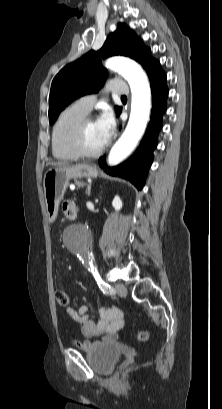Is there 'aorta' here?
Listing matches in <instances>:
<instances>
[{"instance_id":"obj_1","label":"aorta","mask_w":222,"mask_h":409,"mask_svg":"<svg viewBox=\"0 0 222 409\" xmlns=\"http://www.w3.org/2000/svg\"><path fill=\"white\" fill-rule=\"evenodd\" d=\"M106 67L123 76L129 83L132 93L127 127L112 147L107 160L110 166H115L132 153L145 132L151 109V90L145 72L134 61L120 57L111 58L107 60ZM68 234L72 238V242L67 243L69 249L87 259L93 268L88 229L77 224L68 231Z\"/></svg>"}]
</instances>
